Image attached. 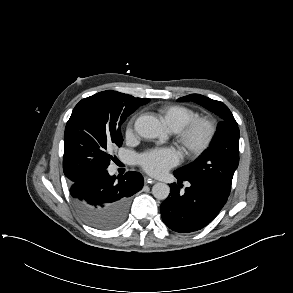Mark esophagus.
Listing matches in <instances>:
<instances>
[{
  "label": "esophagus",
  "mask_w": 293,
  "mask_h": 293,
  "mask_svg": "<svg viewBox=\"0 0 293 293\" xmlns=\"http://www.w3.org/2000/svg\"><path fill=\"white\" fill-rule=\"evenodd\" d=\"M145 182H146V183H152V184H153V183L156 182V180L153 179V178H150V177H147V176H146V177H145Z\"/></svg>",
  "instance_id": "obj_1"
}]
</instances>
